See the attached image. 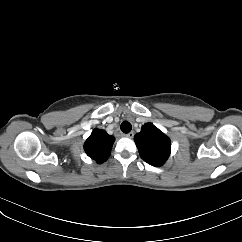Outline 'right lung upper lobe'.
Here are the masks:
<instances>
[{"mask_svg":"<svg viewBox=\"0 0 242 242\" xmlns=\"http://www.w3.org/2000/svg\"><path fill=\"white\" fill-rule=\"evenodd\" d=\"M115 138L106 131L95 128L84 144L86 154L97 163L105 162L111 152Z\"/></svg>","mask_w":242,"mask_h":242,"instance_id":"obj_1","label":"right lung upper lobe"}]
</instances>
